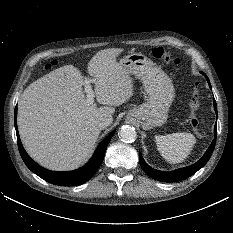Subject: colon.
Instances as JSON below:
<instances>
[{"label": "colon", "mask_w": 233, "mask_h": 233, "mask_svg": "<svg viewBox=\"0 0 233 233\" xmlns=\"http://www.w3.org/2000/svg\"><path fill=\"white\" fill-rule=\"evenodd\" d=\"M153 57L164 61L167 64L179 65L181 63V58L178 56H173L171 53L166 51L163 47H156L152 50ZM56 62H51L47 64L45 67L50 69ZM200 108V95L198 90L197 83L194 84L192 90V96L189 102V124L192 129L200 133V120L198 117V111Z\"/></svg>", "instance_id": "1"}]
</instances>
